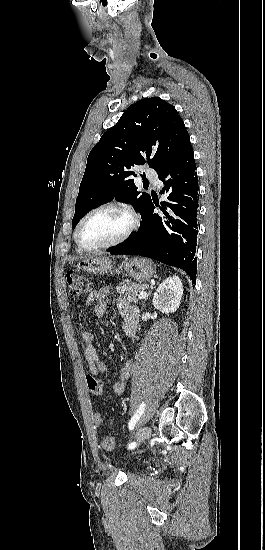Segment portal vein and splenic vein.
<instances>
[{
	"label": "portal vein and splenic vein",
	"instance_id": "1",
	"mask_svg": "<svg viewBox=\"0 0 265 550\" xmlns=\"http://www.w3.org/2000/svg\"><path fill=\"white\" fill-rule=\"evenodd\" d=\"M147 297V293L146 292H141L139 295H138V298L139 299H144Z\"/></svg>",
	"mask_w": 265,
	"mask_h": 550
}]
</instances>
